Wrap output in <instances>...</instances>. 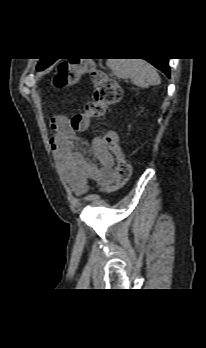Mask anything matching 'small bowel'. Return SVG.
Returning a JSON list of instances; mask_svg holds the SVG:
<instances>
[{
	"mask_svg": "<svg viewBox=\"0 0 206 348\" xmlns=\"http://www.w3.org/2000/svg\"><path fill=\"white\" fill-rule=\"evenodd\" d=\"M53 136L50 140L62 177L77 195L84 194L88 183L101 186L115 182L114 158L100 137H95L91 149L98 164L88 161L83 151L75 148V135L67 117L57 116L51 121Z\"/></svg>",
	"mask_w": 206,
	"mask_h": 348,
	"instance_id": "small-bowel-1",
	"label": "small bowel"
}]
</instances>
